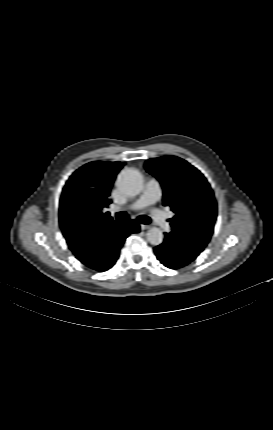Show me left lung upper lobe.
Wrapping results in <instances>:
<instances>
[{
  "instance_id": "5c2ea615",
  "label": "left lung upper lobe",
  "mask_w": 273,
  "mask_h": 430,
  "mask_svg": "<svg viewBox=\"0 0 273 430\" xmlns=\"http://www.w3.org/2000/svg\"><path fill=\"white\" fill-rule=\"evenodd\" d=\"M146 170L163 187V205L175 216L169 220L176 243L200 254L213 234L217 204L203 174L176 156L147 160Z\"/></svg>"
}]
</instances>
